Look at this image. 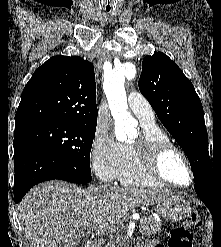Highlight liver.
<instances>
[{"instance_id":"obj_1","label":"liver","mask_w":221,"mask_h":247,"mask_svg":"<svg viewBox=\"0 0 221 247\" xmlns=\"http://www.w3.org/2000/svg\"><path fill=\"white\" fill-rule=\"evenodd\" d=\"M172 192L145 188L92 186L63 181L33 187L18 207L20 225L33 247H77L91 232H110L125 214L154 205Z\"/></svg>"}]
</instances>
